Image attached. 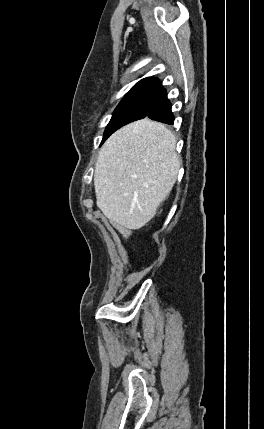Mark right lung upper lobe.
Here are the masks:
<instances>
[{
  "label": "right lung upper lobe",
  "instance_id": "obj_1",
  "mask_svg": "<svg viewBox=\"0 0 264 429\" xmlns=\"http://www.w3.org/2000/svg\"><path fill=\"white\" fill-rule=\"evenodd\" d=\"M139 88H161V89H163L161 87L158 79H154V78H151V77L142 79L141 81H139L138 83H136V85L133 86V88L131 90H133V89H139Z\"/></svg>",
  "mask_w": 264,
  "mask_h": 429
}]
</instances>
